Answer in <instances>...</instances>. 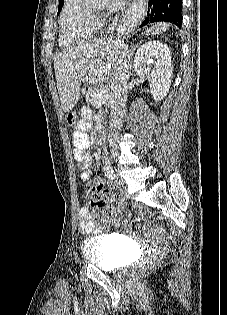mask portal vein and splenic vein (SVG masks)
Returning a JSON list of instances; mask_svg holds the SVG:
<instances>
[{"label":"portal vein and splenic vein","instance_id":"1","mask_svg":"<svg viewBox=\"0 0 227 315\" xmlns=\"http://www.w3.org/2000/svg\"><path fill=\"white\" fill-rule=\"evenodd\" d=\"M107 93V91H100V92H96L94 93V97L98 98V101L101 102V100L103 99L104 95Z\"/></svg>","mask_w":227,"mask_h":315}]
</instances>
